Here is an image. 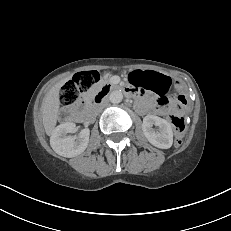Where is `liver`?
<instances>
[{"label": "liver", "instance_id": "6515ba94", "mask_svg": "<svg viewBox=\"0 0 231 231\" xmlns=\"http://www.w3.org/2000/svg\"><path fill=\"white\" fill-rule=\"evenodd\" d=\"M70 77L56 83L46 94L41 106L43 126L48 136L52 135L58 118L60 108L59 93L61 87Z\"/></svg>", "mask_w": 231, "mask_h": 231}]
</instances>
